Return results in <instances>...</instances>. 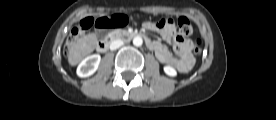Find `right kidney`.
<instances>
[{"instance_id": "ca27d5eb", "label": "right kidney", "mask_w": 276, "mask_h": 120, "mask_svg": "<svg viewBox=\"0 0 276 120\" xmlns=\"http://www.w3.org/2000/svg\"><path fill=\"white\" fill-rule=\"evenodd\" d=\"M101 57L99 54L87 56L78 65L77 75L79 77H89L96 72L100 64Z\"/></svg>"}]
</instances>
